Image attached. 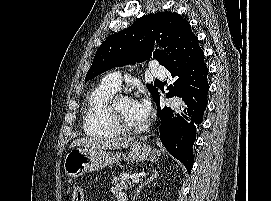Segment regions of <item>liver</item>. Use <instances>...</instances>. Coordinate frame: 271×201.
I'll return each instance as SVG.
<instances>
[{
  "mask_svg": "<svg viewBox=\"0 0 271 201\" xmlns=\"http://www.w3.org/2000/svg\"><path fill=\"white\" fill-rule=\"evenodd\" d=\"M134 138H112L107 140H100L95 138H78L74 140L70 148L79 146L85 148H94V149H121L127 148L132 144Z\"/></svg>",
  "mask_w": 271,
  "mask_h": 201,
  "instance_id": "obj_1",
  "label": "liver"
}]
</instances>
